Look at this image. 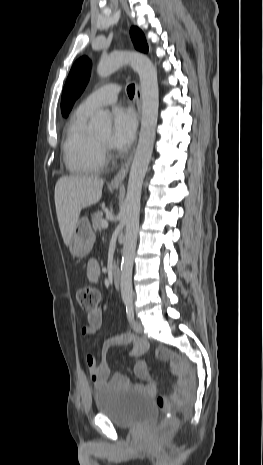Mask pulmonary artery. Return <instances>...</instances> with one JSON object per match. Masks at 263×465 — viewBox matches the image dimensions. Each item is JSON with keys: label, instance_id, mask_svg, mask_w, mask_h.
<instances>
[{"label": "pulmonary artery", "instance_id": "1", "mask_svg": "<svg viewBox=\"0 0 263 465\" xmlns=\"http://www.w3.org/2000/svg\"><path fill=\"white\" fill-rule=\"evenodd\" d=\"M120 86L118 84H107L89 94L79 105L82 112L92 114L100 107L111 105L117 101Z\"/></svg>", "mask_w": 263, "mask_h": 465}]
</instances>
